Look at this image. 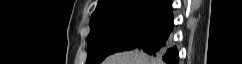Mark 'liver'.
<instances>
[{"mask_svg": "<svg viewBox=\"0 0 242 64\" xmlns=\"http://www.w3.org/2000/svg\"><path fill=\"white\" fill-rule=\"evenodd\" d=\"M158 62V60L152 59L136 49L129 52L115 53L109 56L103 64H158Z\"/></svg>", "mask_w": 242, "mask_h": 64, "instance_id": "liver-1", "label": "liver"}]
</instances>
